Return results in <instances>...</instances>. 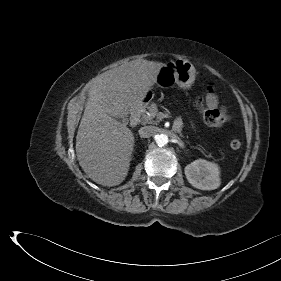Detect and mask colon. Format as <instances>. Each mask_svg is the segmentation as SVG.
Instances as JSON below:
<instances>
[{
    "label": "colon",
    "mask_w": 281,
    "mask_h": 281,
    "mask_svg": "<svg viewBox=\"0 0 281 281\" xmlns=\"http://www.w3.org/2000/svg\"><path fill=\"white\" fill-rule=\"evenodd\" d=\"M212 93V92H209ZM197 101L201 102V99ZM204 122L209 126H220L227 120L226 111L219 108H204L203 110ZM230 147L237 150L241 147V142L238 139H233L230 142Z\"/></svg>",
    "instance_id": "1"
}]
</instances>
